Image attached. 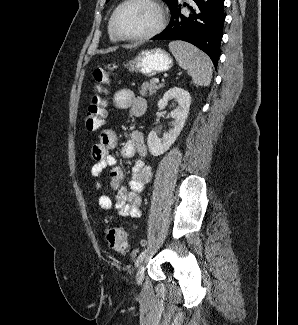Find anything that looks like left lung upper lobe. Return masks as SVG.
<instances>
[{
  "label": "left lung upper lobe",
  "instance_id": "left-lung-upper-lobe-1",
  "mask_svg": "<svg viewBox=\"0 0 298 325\" xmlns=\"http://www.w3.org/2000/svg\"><path fill=\"white\" fill-rule=\"evenodd\" d=\"M107 2L109 1V0H106ZM165 2H167L169 5H171L172 3H174L176 0H164Z\"/></svg>",
  "mask_w": 298,
  "mask_h": 325
}]
</instances>
